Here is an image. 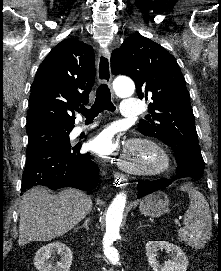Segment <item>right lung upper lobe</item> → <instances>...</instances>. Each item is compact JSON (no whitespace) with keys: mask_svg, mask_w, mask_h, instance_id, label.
<instances>
[{"mask_svg":"<svg viewBox=\"0 0 221 271\" xmlns=\"http://www.w3.org/2000/svg\"><path fill=\"white\" fill-rule=\"evenodd\" d=\"M94 50L75 38L55 46L31 86L26 129L74 126V110L88 103L95 82Z\"/></svg>","mask_w":221,"mask_h":271,"instance_id":"1","label":"right lung upper lobe"}]
</instances>
